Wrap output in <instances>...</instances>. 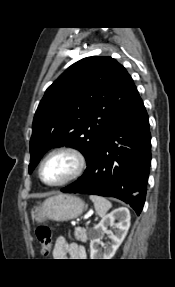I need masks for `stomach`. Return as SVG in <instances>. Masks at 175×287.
I'll return each mask as SVG.
<instances>
[{
    "label": "stomach",
    "instance_id": "obj_1",
    "mask_svg": "<svg viewBox=\"0 0 175 287\" xmlns=\"http://www.w3.org/2000/svg\"><path fill=\"white\" fill-rule=\"evenodd\" d=\"M82 199L74 195L58 194L47 198L34 212L36 221L64 222L80 216L85 210Z\"/></svg>",
    "mask_w": 175,
    "mask_h": 287
}]
</instances>
